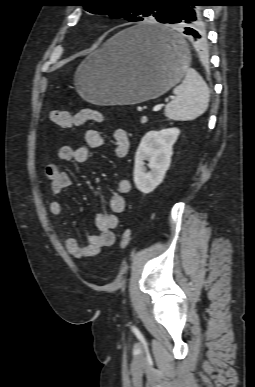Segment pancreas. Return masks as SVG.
Returning a JSON list of instances; mask_svg holds the SVG:
<instances>
[{"label": "pancreas", "mask_w": 255, "mask_h": 387, "mask_svg": "<svg viewBox=\"0 0 255 387\" xmlns=\"http://www.w3.org/2000/svg\"><path fill=\"white\" fill-rule=\"evenodd\" d=\"M147 121L146 118H142L141 123H145Z\"/></svg>", "instance_id": "1"}]
</instances>
